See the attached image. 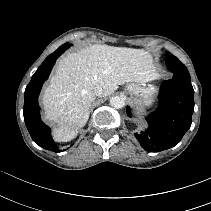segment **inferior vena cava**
I'll list each match as a JSON object with an SVG mask.
<instances>
[{
  "label": "inferior vena cava",
  "mask_w": 211,
  "mask_h": 211,
  "mask_svg": "<svg viewBox=\"0 0 211 211\" xmlns=\"http://www.w3.org/2000/svg\"><path fill=\"white\" fill-rule=\"evenodd\" d=\"M94 94L96 96H102L103 95V89L100 86L95 87Z\"/></svg>",
  "instance_id": "1"
}]
</instances>
